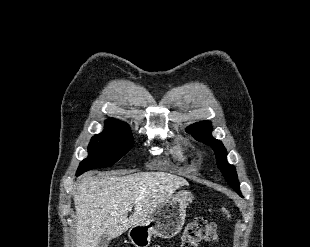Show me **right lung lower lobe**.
I'll use <instances>...</instances> for the list:
<instances>
[{"mask_svg": "<svg viewBox=\"0 0 310 247\" xmlns=\"http://www.w3.org/2000/svg\"><path fill=\"white\" fill-rule=\"evenodd\" d=\"M80 175V173H76V176H79Z\"/></svg>", "mask_w": 310, "mask_h": 247, "instance_id": "obj_1", "label": "right lung lower lobe"}]
</instances>
